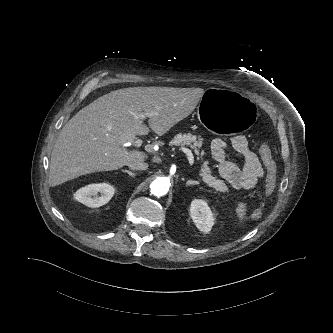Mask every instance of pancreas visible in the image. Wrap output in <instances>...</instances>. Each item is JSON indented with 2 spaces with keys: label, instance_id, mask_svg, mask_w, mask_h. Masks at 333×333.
I'll use <instances>...</instances> for the list:
<instances>
[{
  "label": "pancreas",
  "instance_id": "1",
  "mask_svg": "<svg viewBox=\"0 0 333 333\" xmlns=\"http://www.w3.org/2000/svg\"><path fill=\"white\" fill-rule=\"evenodd\" d=\"M203 144V141L201 138H197L195 135H192L190 133L185 134H178L176 135L173 140L170 142V145L172 146H185L189 145L192 149H194L195 153L201 158L204 155V151L202 150L199 152V149L201 148ZM203 159V158H202ZM208 161H204L199 175L201 176L202 180L210 187L214 188L217 191L220 192H228V187L226 186L225 182L220 179H216V177L212 176L211 169L208 166Z\"/></svg>",
  "mask_w": 333,
  "mask_h": 333
}]
</instances>
